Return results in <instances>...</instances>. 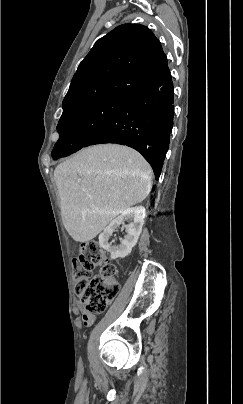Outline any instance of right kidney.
Returning a JSON list of instances; mask_svg holds the SVG:
<instances>
[{"label": "right kidney", "instance_id": "right-kidney-1", "mask_svg": "<svg viewBox=\"0 0 243 404\" xmlns=\"http://www.w3.org/2000/svg\"><path fill=\"white\" fill-rule=\"evenodd\" d=\"M145 208L143 206H135V208H128L125 212H122L121 216L115 218L110 222L109 226L103 230L99 236L100 248L109 252L112 260L116 258H126L131 254L132 248L136 246L138 238L142 232V226L144 224ZM129 222L126 226H123L126 230V236L123 240H120L119 246H112L109 242L110 236L113 232L119 228L120 224Z\"/></svg>", "mask_w": 243, "mask_h": 404}]
</instances>
